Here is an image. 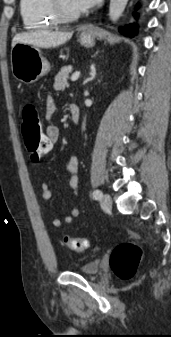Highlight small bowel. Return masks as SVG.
Segmentation results:
<instances>
[{
  "label": "small bowel",
  "instance_id": "obj_1",
  "mask_svg": "<svg viewBox=\"0 0 171 337\" xmlns=\"http://www.w3.org/2000/svg\"><path fill=\"white\" fill-rule=\"evenodd\" d=\"M57 111V103L53 98H48L45 105V113L47 118H51ZM45 134L48 140H52V146L58 142L60 138V130L56 125L50 124L45 129ZM80 166V159L77 156H71L67 162V170L69 172V187L77 194L79 183H78V169ZM41 195L46 201L50 200L52 197L51 189L48 183L43 182L41 184ZM80 215V210L77 207H73L70 212L65 216L64 221L70 224ZM51 224L55 228H59L62 225V221L59 218H53Z\"/></svg>",
  "mask_w": 171,
  "mask_h": 337
}]
</instances>
